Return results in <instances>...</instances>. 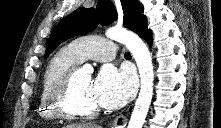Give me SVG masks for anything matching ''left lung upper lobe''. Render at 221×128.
Wrapping results in <instances>:
<instances>
[{
    "instance_id": "5c2ea615",
    "label": "left lung upper lobe",
    "mask_w": 221,
    "mask_h": 128,
    "mask_svg": "<svg viewBox=\"0 0 221 128\" xmlns=\"http://www.w3.org/2000/svg\"><path fill=\"white\" fill-rule=\"evenodd\" d=\"M124 18L123 25L137 33L141 38L149 31L147 18L143 14V6L137 0H121ZM116 10L109 0H100L97 8H78L55 27L45 51L48 57L63 41L93 31L98 24L107 25L116 19Z\"/></svg>"
}]
</instances>
